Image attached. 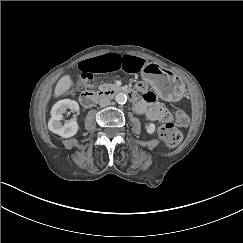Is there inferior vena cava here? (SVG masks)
I'll list each match as a JSON object with an SVG mask.
<instances>
[{
	"mask_svg": "<svg viewBox=\"0 0 243 243\" xmlns=\"http://www.w3.org/2000/svg\"><path fill=\"white\" fill-rule=\"evenodd\" d=\"M99 105L101 107H106L110 105V99L107 96H103L99 99Z\"/></svg>",
	"mask_w": 243,
	"mask_h": 243,
	"instance_id": "602c4592",
	"label": "inferior vena cava"
}]
</instances>
